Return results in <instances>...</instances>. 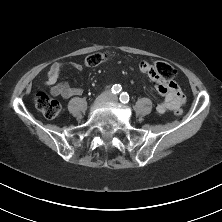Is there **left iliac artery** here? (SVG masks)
Instances as JSON below:
<instances>
[{"instance_id": "44dca946", "label": "left iliac artery", "mask_w": 222, "mask_h": 222, "mask_svg": "<svg viewBox=\"0 0 222 222\" xmlns=\"http://www.w3.org/2000/svg\"><path fill=\"white\" fill-rule=\"evenodd\" d=\"M120 101H121L123 104L128 103V102H129V95H128V93L123 92V93L120 95Z\"/></svg>"}]
</instances>
